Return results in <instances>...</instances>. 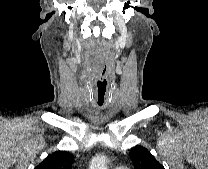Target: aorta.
<instances>
[{
    "label": "aorta",
    "mask_w": 208,
    "mask_h": 169,
    "mask_svg": "<svg viewBox=\"0 0 208 169\" xmlns=\"http://www.w3.org/2000/svg\"><path fill=\"white\" fill-rule=\"evenodd\" d=\"M89 169H107L106 157L104 155H97L91 161Z\"/></svg>",
    "instance_id": "obj_1"
}]
</instances>
